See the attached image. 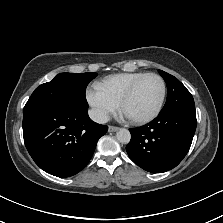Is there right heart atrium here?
Wrapping results in <instances>:
<instances>
[{
	"label": "right heart atrium",
	"mask_w": 223,
	"mask_h": 223,
	"mask_svg": "<svg viewBox=\"0 0 223 223\" xmlns=\"http://www.w3.org/2000/svg\"><path fill=\"white\" fill-rule=\"evenodd\" d=\"M93 117L100 122L106 121L119 109V102L112 99L98 84L92 86L87 96Z\"/></svg>",
	"instance_id": "d8ad5b80"
}]
</instances>
